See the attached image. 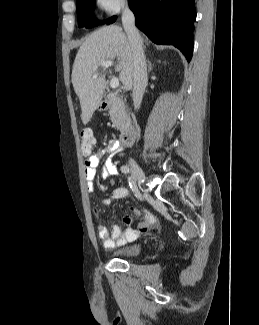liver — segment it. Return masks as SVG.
<instances>
[{
  "label": "liver",
  "mask_w": 259,
  "mask_h": 325,
  "mask_svg": "<svg viewBox=\"0 0 259 325\" xmlns=\"http://www.w3.org/2000/svg\"><path fill=\"white\" fill-rule=\"evenodd\" d=\"M143 43V38L141 37ZM117 59L115 71L126 90L133 86L132 46L121 27H102L88 36L80 46L72 69V84L79 97L81 119L86 125L99 107L106 87L105 77L93 78L107 60Z\"/></svg>",
  "instance_id": "liver-1"
}]
</instances>
